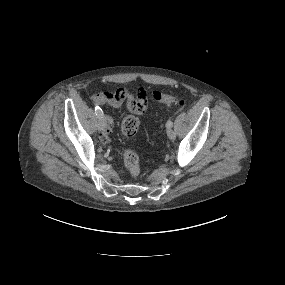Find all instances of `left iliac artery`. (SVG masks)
Listing matches in <instances>:
<instances>
[{
    "label": "left iliac artery",
    "mask_w": 285,
    "mask_h": 285,
    "mask_svg": "<svg viewBox=\"0 0 285 285\" xmlns=\"http://www.w3.org/2000/svg\"><path fill=\"white\" fill-rule=\"evenodd\" d=\"M173 126V122L172 121H168L167 123H166V127L167 128H171Z\"/></svg>",
    "instance_id": "obj_1"
}]
</instances>
